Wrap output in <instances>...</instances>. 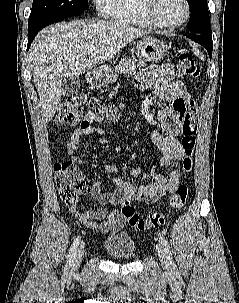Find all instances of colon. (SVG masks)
<instances>
[{
    "mask_svg": "<svg viewBox=\"0 0 239 303\" xmlns=\"http://www.w3.org/2000/svg\"><path fill=\"white\" fill-rule=\"evenodd\" d=\"M177 71L181 76L196 78L199 76V67L194 57L189 53H183L179 56ZM84 98L75 96L65 98L59 108L56 121L62 124H71L79 121L81 117ZM90 106L100 115H112L115 110L99 100L89 102ZM199 107L194 101L190 102L187 111L184 108L182 119V140L181 145L184 150L182 160L183 170L186 173L191 172L193 160L192 156L197 141L199 128ZM55 180L59 196L62 202L68 206H77L81 201V196L88 189V183L82 173L70 161L58 163L55 165ZM189 188L186 184L177 187L176 192L170 199V206L174 209L182 208L188 198ZM122 216L131 227L139 230L160 228L164 226L166 218L161 212H152L146 216H140L135 212L131 200H125L122 206Z\"/></svg>",
    "mask_w": 239,
    "mask_h": 303,
    "instance_id": "5ec220e1",
    "label": "colon"
}]
</instances>
